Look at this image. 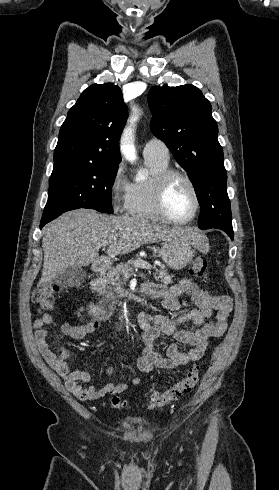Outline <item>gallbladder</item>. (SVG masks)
I'll use <instances>...</instances> for the list:
<instances>
[{"label": "gallbladder", "instance_id": "bac80fb5", "mask_svg": "<svg viewBox=\"0 0 279 490\" xmlns=\"http://www.w3.org/2000/svg\"><path fill=\"white\" fill-rule=\"evenodd\" d=\"M85 278L86 272L82 266H69L63 270L62 274L54 278V282L60 288H78L83 284Z\"/></svg>", "mask_w": 279, "mask_h": 490}]
</instances>
